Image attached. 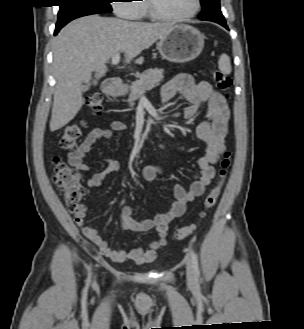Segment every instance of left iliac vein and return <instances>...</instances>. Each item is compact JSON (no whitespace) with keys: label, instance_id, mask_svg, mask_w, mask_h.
Instances as JSON below:
<instances>
[{"label":"left iliac vein","instance_id":"1","mask_svg":"<svg viewBox=\"0 0 304 329\" xmlns=\"http://www.w3.org/2000/svg\"><path fill=\"white\" fill-rule=\"evenodd\" d=\"M186 275H187V279L189 282L194 281V271H193L192 265L189 261L186 264Z\"/></svg>","mask_w":304,"mask_h":329}]
</instances>
